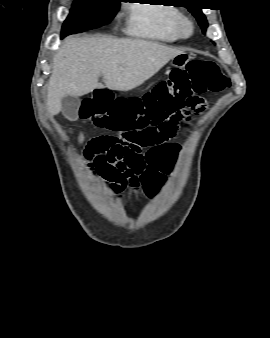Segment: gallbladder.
Here are the masks:
<instances>
[{
	"label": "gallbladder",
	"instance_id": "gallbladder-1",
	"mask_svg": "<svg viewBox=\"0 0 270 338\" xmlns=\"http://www.w3.org/2000/svg\"><path fill=\"white\" fill-rule=\"evenodd\" d=\"M80 105V98L66 95L61 99L62 114L70 120H75L78 117Z\"/></svg>",
	"mask_w": 270,
	"mask_h": 338
}]
</instances>
